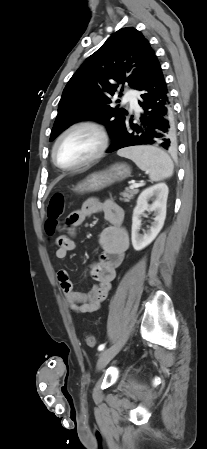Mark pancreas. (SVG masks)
<instances>
[{"label":"pancreas","instance_id":"1","mask_svg":"<svg viewBox=\"0 0 207 449\" xmlns=\"http://www.w3.org/2000/svg\"><path fill=\"white\" fill-rule=\"evenodd\" d=\"M139 191L137 189H133V190H129L128 188L121 193V196L123 198H120L121 201L124 202H129L130 199H133L134 196L138 193Z\"/></svg>","mask_w":207,"mask_h":449}]
</instances>
